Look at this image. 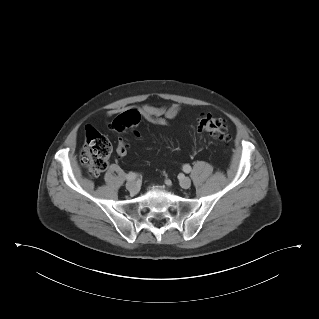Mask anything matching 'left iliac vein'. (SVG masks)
I'll use <instances>...</instances> for the list:
<instances>
[{
  "label": "left iliac vein",
  "instance_id": "4c4485c4",
  "mask_svg": "<svg viewBox=\"0 0 319 319\" xmlns=\"http://www.w3.org/2000/svg\"><path fill=\"white\" fill-rule=\"evenodd\" d=\"M179 181L180 186L184 189H188L191 185V180L188 177L182 176Z\"/></svg>",
  "mask_w": 319,
  "mask_h": 319
}]
</instances>
